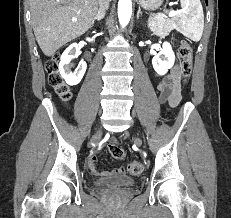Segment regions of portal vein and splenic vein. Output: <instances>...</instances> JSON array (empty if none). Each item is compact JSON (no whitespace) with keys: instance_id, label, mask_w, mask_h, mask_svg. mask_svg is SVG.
I'll return each mask as SVG.
<instances>
[{"instance_id":"obj_1","label":"portal vein and splenic vein","mask_w":231,"mask_h":218,"mask_svg":"<svg viewBox=\"0 0 231 218\" xmlns=\"http://www.w3.org/2000/svg\"><path fill=\"white\" fill-rule=\"evenodd\" d=\"M177 13H179V11L171 10L168 15L169 17H172V16H175ZM72 21L76 22L77 18H73Z\"/></svg>"}]
</instances>
